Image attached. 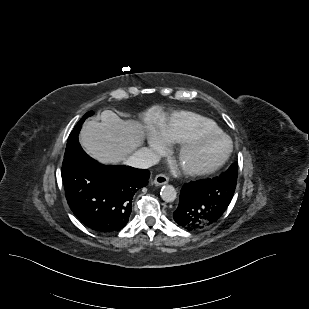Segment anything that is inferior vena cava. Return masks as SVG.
I'll use <instances>...</instances> for the list:
<instances>
[{"instance_id":"602c4592","label":"inferior vena cava","mask_w":309,"mask_h":309,"mask_svg":"<svg viewBox=\"0 0 309 309\" xmlns=\"http://www.w3.org/2000/svg\"><path fill=\"white\" fill-rule=\"evenodd\" d=\"M158 162L157 155L151 150H138L125 159V164L135 168H149Z\"/></svg>"}]
</instances>
